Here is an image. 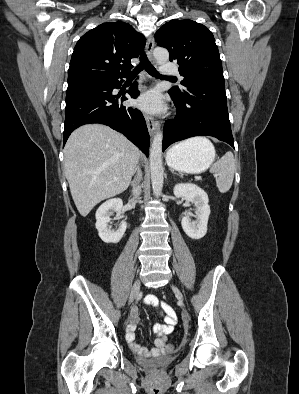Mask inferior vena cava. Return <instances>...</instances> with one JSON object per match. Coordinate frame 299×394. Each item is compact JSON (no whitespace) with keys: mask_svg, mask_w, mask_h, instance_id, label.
<instances>
[{"mask_svg":"<svg viewBox=\"0 0 299 394\" xmlns=\"http://www.w3.org/2000/svg\"><path fill=\"white\" fill-rule=\"evenodd\" d=\"M138 170H140L139 167H137L135 171L137 172ZM140 193H141V186L136 185L135 187H133V195L135 198H137L140 195Z\"/></svg>","mask_w":299,"mask_h":394,"instance_id":"602c4592","label":"inferior vena cava"}]
</instances>
